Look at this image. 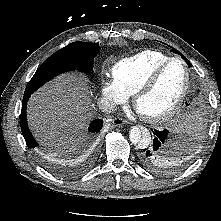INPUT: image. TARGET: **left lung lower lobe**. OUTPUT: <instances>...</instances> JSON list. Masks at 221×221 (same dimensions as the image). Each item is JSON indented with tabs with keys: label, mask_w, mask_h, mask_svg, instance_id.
<instances>
[{
	"label": "left lung lower lobe",
	"mask_w": 221,
	"mask_h": 221,
	"mask_svg": "<svg viewBox=\"0 0 221 221\" xmlns=\"http://www.w3.org/2000/svg\"><path fill=\"white\" fill-rule=\"evenodd\" d=\"M153 146L142 155L143 165L157 173H170L173 172V164L169 158H167V136L168 131L164 129L162 131L154 130Z\"/></svg>",
	"instance_id": "obj_1"
}]
</instances>
